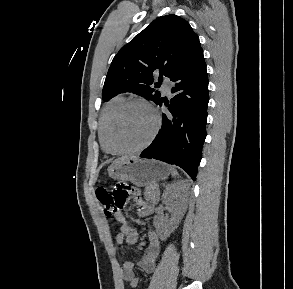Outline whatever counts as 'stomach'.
Wrapping results in <instances>:
<instances>
[{
	"label": "stomach",
	"mask_w": 293,
	"mask_h": 289,
	"mask_svg": "<svg viewBox=\"0 0 293 289\" xmlns=\"http://www.w3.org/2000/svg\"><path fill=\"white\" fill-rule=\"evenodd\" d=\"M108 174L114 180L146 186L165 180L170 174V167L160 161L130 157L115 161L109 166Z\"/></svg>",
	"instance_id": "obj_1"
}]
</instances>
